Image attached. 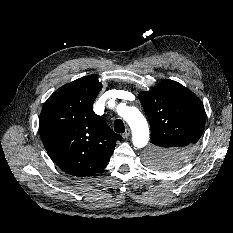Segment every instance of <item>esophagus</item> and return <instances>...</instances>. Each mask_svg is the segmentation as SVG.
Listing matches in <instances>:
<instances>
[{
	"label": "esophagus",
	"instance_id": "esophagus-1",
	"mask_svg": "<svg viewBox=\"0 0 233 233\" xmlns=\"http://www.w3.org/2000/svg\"><path fill=\"white\" fill-rule=\"evenodd\" d=\"M130 133H131L130 129L127 128V129L125 130V132L122 134V137H123V138H128V137L130 136Z\"/></svg>",
	"mask_w": 233,
	"mask_h": 233
}]
</instances>
